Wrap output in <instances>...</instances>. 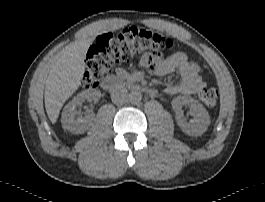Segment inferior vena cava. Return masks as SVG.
I'll list each match as a JSON object with an SVG mask.
<instances>
[{
	"label": "inferior vena cava",
	"instance_id": "inferior-vena-cava-1",
	"mask_svg": "<svg viewBox=\"0 0 265 202\" xmlns=\"http://www.w3.org/2000/svg\"><path fill=\"white\" fill-rule=\"evenodd\" d=\"M111 99L114 104H125L129 99L128 90L123 86H117L111 92Z\"/></svg>",
	"mask_w": 265,
	"mask_h": 202
}]
</instances>
